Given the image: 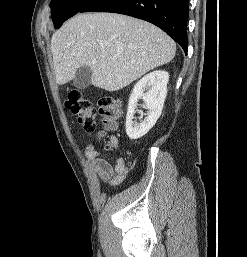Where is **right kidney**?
<instances>
[{
    "instance_id": "1",
    "label": "right kidney",
    "mask_w": 247,
    "mask_h": 257,
    "mask_svg": "<svg viewBox=\"0 0 247 257\" xmlns=\"http://www.w3.org/2000/svg\"><path fill=\"white\" fill-rule=\"evenodd\" d=\"M169 74L163 70H156L140 79L133 88L129 98L126 115V133L130 139L144 136L160 117L167 94ZM146 91V92H145ZM139 99L145 101L147 117L141 123H134L133 118Z\"/></svg>"
}]
</instances>
